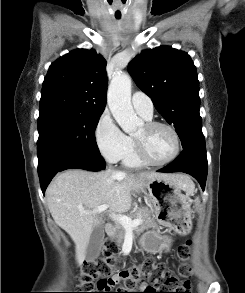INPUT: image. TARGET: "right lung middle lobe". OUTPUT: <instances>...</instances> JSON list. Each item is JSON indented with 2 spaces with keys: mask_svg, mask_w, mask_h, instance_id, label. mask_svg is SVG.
I'll use <instances>...</instances> for the list:
<instances>
[{
  "mask_svg": "<svg viewBox=\"0 0 245 293\" xmlns=\"http://www.w3.org/2000/svg\"><path fill=\"white\" fill-rule=\"evenodd\" d=\"M102 113L53 109L40 112L37 142L38 171L58 156L85 153L100 156L95 129Z\"/></svg>",
  "mask_w": 245,
  "mask_h": 293,
  "instance_id": "1",
  "label": "right lung middle lobe"
}]
</instances>
